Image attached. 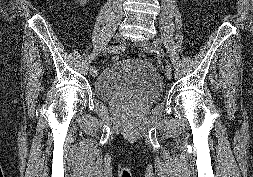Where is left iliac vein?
I'll use <instances>...</instances> for the list:
<instances>
[{"mask_svg": "<svg viewBox=\"0 0 253 177\" xmlns=\"http://www.w3.org/2000/svg\"><path fill=\"white\" fill-rule=\"evenodd\" d=\"M138 46L145 51L151 52L154 50V47L152 46V44L147 40H143V41L138 42ZM164 73H165V76L167 77V79L172 78V72H171V68L169 66L165 67Z\"/></svg>", "mask_w": 253, "mask_h": 177, "instance_id": "4c4485c4", "label": "left iliac vein"}]
</instances>
